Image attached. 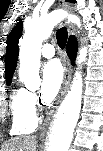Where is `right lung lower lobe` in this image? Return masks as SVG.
Returning a JSON list of instances; mask_svg holds the SVG:
<instances>
[{"instance_id": "1", "label": "right lung lower lobe", "mask_w": 103, "mask_h": 151, "mask_svg": "<svg viewBox=\"0 0 103 151\" xmlns=\"http://www.w3.org/2000/svg\"><path fill=\"white\" fill-rule=\"evenodd\" d=\"M68 56L72 61L75 60L76 52H77V41L74 37H71L69 43L67 45ZM74 64V63H72Z\"/></svg>"}]
</instances>
